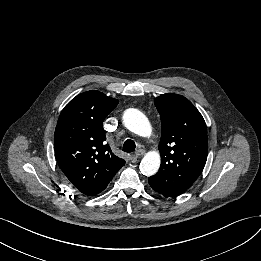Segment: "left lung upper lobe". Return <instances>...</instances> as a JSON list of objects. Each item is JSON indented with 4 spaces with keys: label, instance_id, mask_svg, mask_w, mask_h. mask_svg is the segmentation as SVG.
Masks as SVG:
<instances>
[{
    "label": "left lung upper lobe",
    "instance_id": "1",
    "mask_svg": "<svg viewBox=\"0 0 261 261\" xmlns=\"http://www.w3.org/2000/svg\"><path fill=\"white\" fill-rule=\"evenodd\" d=\"M160 113V170L148 179L172 196L184 193L201 174L208 151L207 128L185 97L164 94L154 100Z\"/></svg>",
    "mask_w": 261,
    "mask_h": 261
}]
</instances>
